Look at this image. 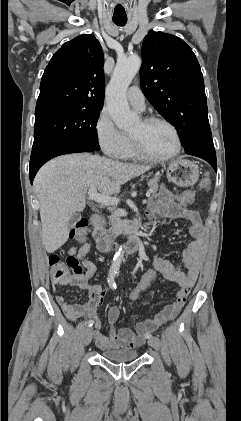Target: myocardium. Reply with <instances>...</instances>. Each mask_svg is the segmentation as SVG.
<instances>
[{"label":"myocardium","instance_id":"f54148a6","mask_svg":"<svg viewBox=\"0 0 241 421\" xmlns=\"http://www.w3.org/2000/svg\"><path fill=\"white\" fill-rule=\"evenodd\" d=\"M141 121L144 125H150L153 123H162L168 126L172 130L175 136L176 145H175L174 150L171 153L165 156H154L145 150L140 139L137 136L130 134L129 137L131 139L133 149L139 158L150 161V162L162 163V162H166L173 159L181 152V149H182L181 135L178 128L171 121L159 116H148V117L143 118Z\"/></svg>","mask_w":241,"mask_h":421}]
</instances>
